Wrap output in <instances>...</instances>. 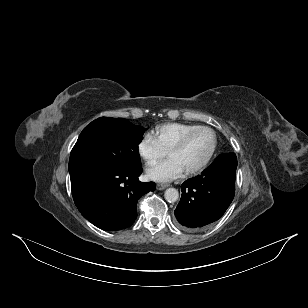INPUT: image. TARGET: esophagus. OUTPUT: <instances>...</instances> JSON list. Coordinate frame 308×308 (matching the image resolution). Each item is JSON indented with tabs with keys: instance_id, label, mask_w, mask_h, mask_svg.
I'll use <instances>...</instances> for the list:
<instances>
[{
	"instance_id": "obj_1",
	"label": "esophagus",
	"mask_w": 308,
	"mask_h": 308,
	"mask_svg": "<svg viewBox=\"0 0 308 308\" xmlns=\"http://www.w3.org/2000/svg\"><path fill=\"white\" fill-rule=\"evenodd\" d=\"M167 187H168V184H163V183H158L157 184V189L158 190H164Z\"/></svg>"
}]
</instances>
